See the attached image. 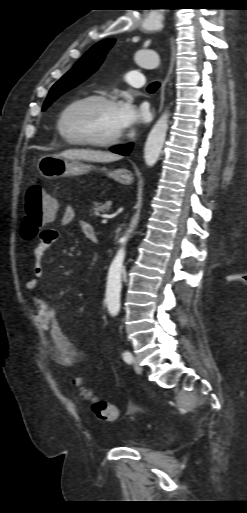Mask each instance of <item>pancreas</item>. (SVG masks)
I'll use <instances>...</instances> for the list:
<instances>
[{
  "label": "pancreas",
  "mask_w": 247,
  "mask_h": 513,
  "mask_svg": "<svg viewBox=\"0 0 247 513\" xmlns=\"http://www.w3.org/2000/svg\"><path fill=\"white\" fill-rule=\"evenodd\" d=\"M111 209V204L109 202L102 204L99 202H93L91 212L93 215L99 216L100 213H105Z\"/></svg>",
  "instance_id": "obj_1"
}]
</instances>
